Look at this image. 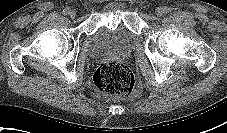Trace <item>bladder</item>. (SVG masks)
Segmentation results:
<instances>
[{
    "label": "bladder",
    "instance_id": "bladder-1",
    "mask_svg": "<svg viewBox=\"0 0 227 133\" xmlns=\"http://www.w3.org/2000/svg\"><path fill=\"white\" fill-rule=\"evenodd\" d=\"M128 8L129 4L121 0L107 4L108 11L127 10ZM132 45L133 34L122 23L114 29L102 25L90 37L88 53L92 57L109 54L126 55L131 51Z\"/></svg>",
    "mask_w": 227,
    "mask_h": 133
}]
</instances>
